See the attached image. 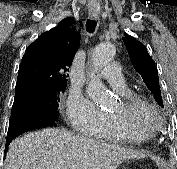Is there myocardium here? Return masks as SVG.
<instances>
[{"mask_svg": "<svg viewBox=\"0 0 177 169\" xmlns=\"http://www.w3.org/2000/svg\"><path fill=\"white\" fill-rule=\"evenodd\" d=\"M142 113H147L152 117L153 123L149 127L140 125L139 115ZM111 114L130 140H135L138 137H152L163 125L158 110L138 93L122 96L119 110Z\"/></svg>", "mask_w": 177, "mask_h": 169, "instance_id": "1", "label": "myocardium"}]
</instances>
